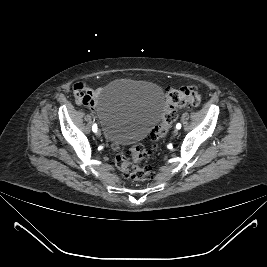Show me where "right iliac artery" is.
<instances>
[{
	"instance_id": "82829eb1",
	"label": "right iliac artery",
	"mask_w": 267,
	"mask_h": 267,
	"mask_svg": "<svg viewBox=\"0 0 267 267\" xmlns=\"http://www.w3.org/2000/svg\"><path fill=\"white\" fill-rule=\"evenodd\" d=\"M92 130H93L94 132L97 131V125H96V124H94V125L92 126Z\"/></svg>"
}]
</instances>
